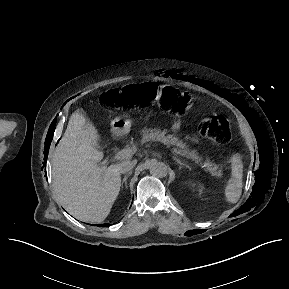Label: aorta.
I'll list each match as a JSON object with an SVG mask.
<instances>
[{
  "mask_svg": "<svg viewBox=\"0 0 289 289\" xmlns=\"http://www.w3.org/2000/svg\"><path fill=\"white\" fill-rule=\"evenodd\" d=\"M150 173L156 178H164L168 174V169L162 162H153L150 166Z\"/></svg>",
  "mask_w": 289,
  "mask_h": 289,
  "instance_id": "aorta-1",
  "label": "aorta"
}]
</instances>
